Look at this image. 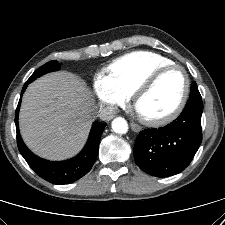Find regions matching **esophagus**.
<instances>
[{"instance_id": "1", "label": "esophagus", "mask_w": 225, "mask_h": 225, "mask_svg": "<svg viewBox=\"0 0 225 225\" xmlns=\"http://www.w3.org/2000/svg\"><path fill=\"white\" fill-rule=\"evenodd\" d=\"M130 126H131V129L134 131V132H140L141 131V127L138 125V124H136V123H131L130 124Z\"/></svg>"}]
</instances>
